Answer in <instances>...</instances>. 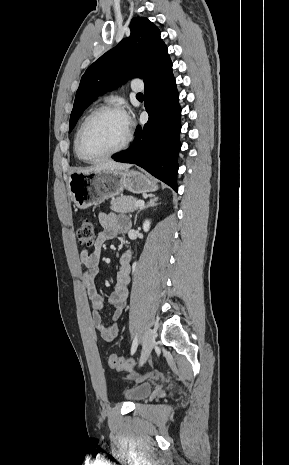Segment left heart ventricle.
<instances>
[{
  "mask_svg": "<svg viewBox=\"0 0 289 465\" xmlns=\"http://www.w3.org/2000/svg\"><path fill=\"white\" fill-rule=\"evenodd\" d=\"M127 124L118 113H101L89 123L83 142L86 155L94 157L120 146L126 138Z\"/></svg>",
  "mask_w": 289,
  "mask_h": 465,
  "instance_id": "obj_1",
  "label": "left heart ventricle"
}]
</instances>
